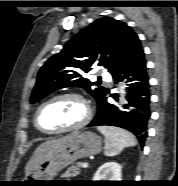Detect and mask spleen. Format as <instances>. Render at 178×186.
<instances>
[{
    "mask_svg": "<svg viewBox=\"0 0 178 186\" xmlns=\"http://www.w3.org/2000/svg\"><path fill=\"white\" fill-rule=\"evenodd\" d=\"M98 130L105 137L104 154L108 157L118 155L125 147L136 145V138L130 132L112 126H99Z\"/></svg>",
    "mask_w": 178,
    "mask_h": 186,
    "instance_id": "1",
    "label": "spleen"
}]
</instances>
